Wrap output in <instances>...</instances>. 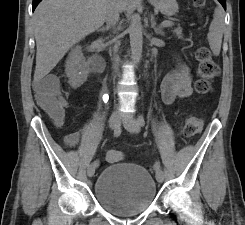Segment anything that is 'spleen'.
<instances>
[{
  "instance_id": "1",
  "label": "spleen",
  "mask_w": 245,
  "mask_h": 225,
  "mask_svg": "<svg viewBox=\"0 0 245 225\" xmlns=\"http://www.w3.org/2000/svg\"><path fill=\"white\" fill-rule=\"evenodd\" d=\"M224 28L223 10L220 7H217L207 35L210 48L216 56L220 54Z\"/></svg>"
}]
</instances>
